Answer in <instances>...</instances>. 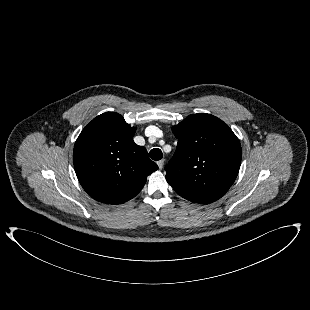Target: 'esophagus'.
Wrapping results in <instances>:
<instances>
[{"instance_id":"esophagus-1","label":"esophagus","mask_w":310,"mask_h":310,"mask_svg":"<svg viewBox=\"0 0 310 310\" xmlns=\"http://www.w3.org/2000/svg\"><path fill=\"white\" fill-rule=\"evenodd\" d=\"M157 165H158L159 169L161 170L163 168V165H164V160L162 159V160L157 161Z\"/></svg>"}]
</instances>
